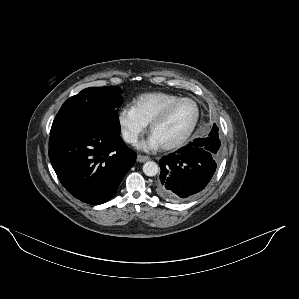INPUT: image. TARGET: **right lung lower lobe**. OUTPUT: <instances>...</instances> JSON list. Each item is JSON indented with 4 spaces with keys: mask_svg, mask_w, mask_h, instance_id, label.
<instances>
[{
    "mask_svg": "<svg viewBox=\"0 0 299 299\" xmlns=\"http://www.w3.org/2000/svg\"><path fill=\"white\" fill-rule=\"evenodd\" d=\"M49 158L60 182L79 200H110L136 161L119 132L98 126H72L50 135Z\"/></svg>",
    "mask_w": 299,
    "mask_h": 299,
    "instance_id": "1",
    "label": "right lung lower lobe"
}]
</instances>
